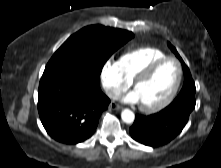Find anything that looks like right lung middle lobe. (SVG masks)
I'll use <instances>...</instances> for the list:
<instances>
[{"label": "right lung middle lobe", "mask_w": 221, "mask_h": 168, "mask_svg": "<svg viewBox=\"0 0 221 168\" xmlns=\"http://www.w3.org/2000/svg\"><path fill=\"white\" fill-rule=\"evenodd\" d=\"M133 36L132 32L121 29L87 26L69 37L54 53L48 65L83 63L101 73L109 57Z\"/></svg>", "instance_id": "obj_1"}]
</instances>
